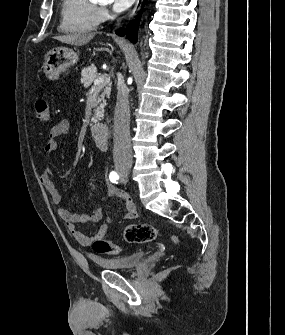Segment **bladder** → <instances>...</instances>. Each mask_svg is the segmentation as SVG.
Masks as SVG:
<instances>
[{
  "label": "bladder",
  "mask_w": 285,
  "mask_h": 335,
  "mask_svg": "<svg viewBox=\"0 0 285 335\" xmlns=\"http://www.w3.org/2000/svg\"><path fill=\"white\" fill-rule=\"evenodd\" d=\"M145 252L135 251L122 257L93 258V265H101L109 272L128 273L144 262Z\"/></svg>",
  "instance_id": "bladder-1"
}]
</instances>
